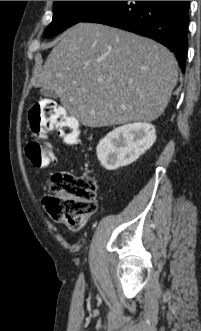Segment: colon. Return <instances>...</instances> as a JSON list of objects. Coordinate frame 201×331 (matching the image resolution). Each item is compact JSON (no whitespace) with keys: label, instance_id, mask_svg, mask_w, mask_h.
<instances>
[{"label":"colon","instance_id":"obj_1","mask_svg":"<svg viewBox=\"0 0 201 331\" xmlns=\"http://www.w3.org/2000/svg\"><path fill=\"white\" fill-rule=\"evenodd\" d=\"M33 137L25 153L36 167L48 166L53 159L50 143L42 139L44 133L56 130L69 144L79 141L77 121L51 99L37 102L29 113ZM52 194L43 199L48 214L73 230L83 228L96 210V181L88 176H75L68 172L55 173L51 179Z\"/></svg>","mask_w":201,"mask_h":331}]
</instances>
